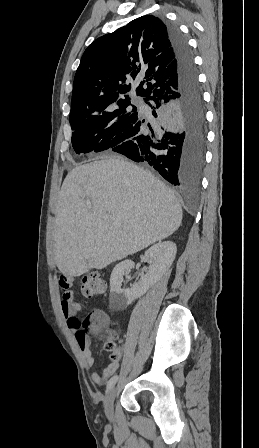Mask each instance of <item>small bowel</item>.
I'll list each match as a JSON object with an SVG mask.
<instances>
[{
    "instance_id": "1",
    "label": "small bowel",
    "mask_w": 259,
    "mask_h": 448,
    "mask_svg": "<svg viewBox=\"0 0 259 448\" xmlns=\"http://www.w3.org/2000/svg\"><path fill=\"white\" fill-rule=\"evenodd\" d=\"M73 277L60 274L57 277L58 284L62 289V301L61 309L63 316L66 319L67 325L70 329L75 331L76 340L79 344L82 356L87 368H92L95 364V358L91 350V341L86 334H82L81 321L77 317L78 313L82 310L81 304L74 298V291L71 289ZM116 338L115 333H110L108 340H114ZM122 357V351L111 355L109 364L100 372H94L91 374V380L97 385L104 384L109 377H111L119 368Z\"/></svg>"
}]
</instances>
